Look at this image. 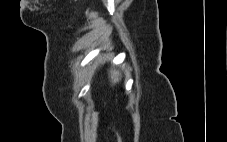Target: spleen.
<instances>
[{"instance_id":"spleen-1","label":"spleen","mask_w":227,"mask_h":142,"mask_svg":"<svg viewBox=\"0 0 227 142\" xmlns=\"http://www.w3.org/2000/svg\"><path fill=\"white\" fill-rule=\"evenodd\" d=\"M111 80H112L113 83H116L120 80L118 71H112L111 72Z\"/></svg>"}]
</instances>
